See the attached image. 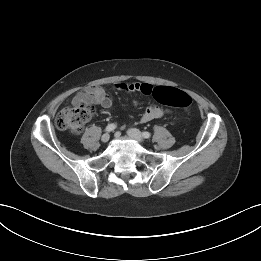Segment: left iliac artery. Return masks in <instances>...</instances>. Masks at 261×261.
<instances>
[{
	"label": "left iliac artery",
	"instance_id": "obj_1",
	"mask_svg": "<svg viewBox=\"0 0 261 261\" xmlns=\"http://www.w3.org/2000/svg\"><path fill=\"white\" fill-rule=\"evenodd\" d=\"M142 135L144 138H149L151 136V134L147 131L143 132Z\"/></svg>",
	"mask_w": 261,
	"mask_h": 261
}]
</instances>
